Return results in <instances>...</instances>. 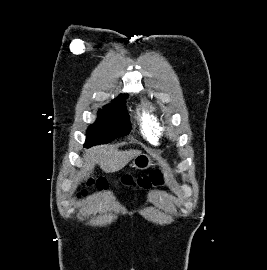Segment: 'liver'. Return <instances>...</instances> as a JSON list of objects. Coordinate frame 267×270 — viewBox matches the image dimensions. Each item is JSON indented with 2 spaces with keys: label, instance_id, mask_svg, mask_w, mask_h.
<instances>
[{
  "label": "liver",
  "instance_id": "liver-1",
  "mask_svg": "<svg viewBox=\"0 0 267 270\" xmlns=\"http://www.w3.org/2000/svg\"><path fill=\"white\" fill-rule=\"evenodd\" d=\"M141 154L138 150L118 151L113 146H100L89 149L84 155L85 169L90 170L99 164L106 172H116L127 165L136 156Z\"/></svg>",
  "mask_w": 267,
  "mask_h": 270
}]
</instances>
